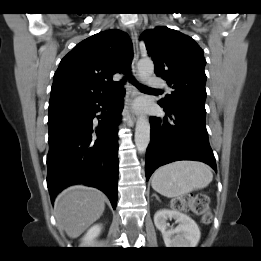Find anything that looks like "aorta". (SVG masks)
<instances>
[{
  "mask_svg": "<svg viewBox=\"0 0 261 261\" xmlns=\"http://www.w3.org/2000/svg\"><path fill=\"white\" fill-rule=\"evenodd\" d=\"M140 79L149 78L154 72V64L150 58H142L138 62ZM150 142V123L145 116H140L135 128V145L139 153H144Z\"/></svg>",
  "mask_w": 261,
  "mask_h": 261,
  "instance_id": "1",
  "label": "aorta"
}]
</instances>
